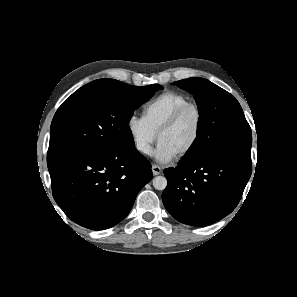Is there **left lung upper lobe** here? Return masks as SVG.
<instances>
[{
	"label": "left lung upper lobe",
	"mask_w": 297,
	"mask_h": 297,
	"mask_svg": "<svg viewBox=\"0 0 297 297\" xmlns=\"http://www.w3.org/2000/svg\"><path fill=\"white\" fill-rule=\"evenodd\" d=\"M175 84L194 95L200 115L198 137L183 160L222 155L251 163V128L236 98L200 77Z\"/></svg>",
	"instance_id": "left-lung-upper-lobe-1"
}]
</instances>
